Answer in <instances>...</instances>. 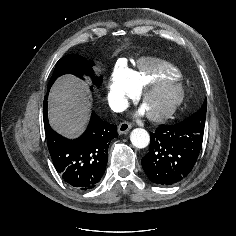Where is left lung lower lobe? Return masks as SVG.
Instances as JSON below:
<instances>
[{
  "instance_id": "left-lung-lower-lobe-1",
  "label": "left lung lower lobe",
  "mask_w": 236,
  "mask_h": 236,
  "mask_svg": "<svg viewBox=\"0 0 236 236\" xmlns=\"http://www.w3.org/2000/svg\"><path fill=\"white\" fill-rule=\"evenodd\" d=\"M204 127L185 121L160 125L150 135L149 152L142 158L148 178L159 185H172L186 177L201 150Z\"/></svg>"
}]
</instances>
